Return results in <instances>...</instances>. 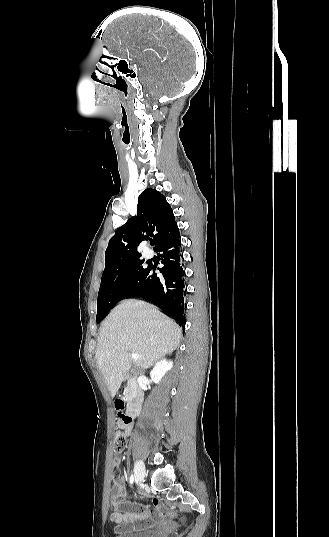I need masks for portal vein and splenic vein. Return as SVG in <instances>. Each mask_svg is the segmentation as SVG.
<instances>
[{"mask_svg": "<svg viewBox=\"0 0 329 537\" xmlns=\"http://www.w3.org/2000/svg\"><path fill=\"white\" fill-rule=\"evenodd\" d=\"M131 358L133 360H138L139 359V355L138 354H135V353H131Z\"/></svg>", "mask_w": 329, "mask_h": 537, "instance_id": "1", "label": "portal vein and splenic vein"}]
</instances>
